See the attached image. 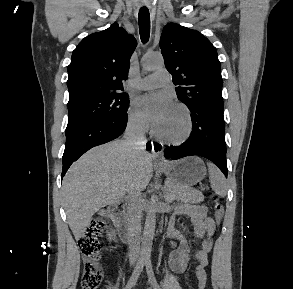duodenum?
<instances>
[{
    "label": "duodenum",
    "mask_w": 293,
    "mask_h": 289,
    "mask_svg": "<svg viewBox=\"0 0 293 289\" xmlns=\"http://www.w3.org/2000/svg\"><path fill=\"white\" fill-rule=\"evenodd\" d=\"M125 207L126 203L121 202L111 206L109 212L122 242L132 244L137 239L138 229L131 218L126 215Z\"/></svg>",
    "instance_id": "duodenum-1"
}]
</instances>
